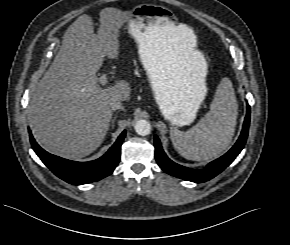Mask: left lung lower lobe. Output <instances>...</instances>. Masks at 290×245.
Here are the masks:
<instances>
[{"instance_id": "1", "label": "left lung lower lobe", "mask_w": 290, "mask_h": 245, "mask_svg": "<svg viewBox=\"0 0 290 245\" xmlns=\"http://www.w3.org/2000/svg\"><path fill=\"white\" fill-rule=\"evenodd\" d=\"M249 122L250 106L247 104V113L244 120L243 129L236 144L225 155L212 161L202 170L186 168L171 161L163 151L160 140L157 136L154 138L156 161L165 172L172 176L193 182L208 181L222 172L241 152L247 139Z\"/></svg>"}]
</instances>
